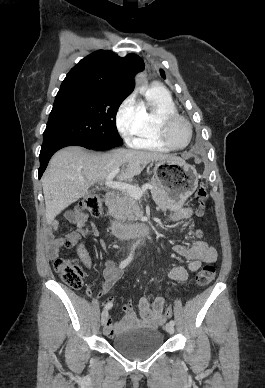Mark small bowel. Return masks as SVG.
Here are the masks:
<instances>
[{"label": "small bowel", "mask_w": 265, "mask_h": 388, "mask_svg": "<svg viewBox=\"0 0 265 388\" xmlns=\"http://www.w3.org/2000/svg\"><path fill=\"white\" fill-rule=\"evenodd\" d=\"M193 214L190 207H179L170 213V219L173 221L189 219ZM64 218L72 225L75 230L67 233L65 237L52 238L49 242V255L51 258H56L61 248L75 247L84 266L88 269L93 267L92 259L87 252L81 238H92L96 235L95 229H90L86 226V215L75 209L65 212ZM53 230L58 229V221L51 224ZM100 245L105 252V263L103 270V282L101 295L107 294L118 280L123 275V270L117 267L112 257L108 254V246L105 240L100 239ZM173 250L178 255L188 260L187 267L177 266L171 269L169 276L174 281H186L189 279L190 273L196 272L201 267L202 263L214 262L217 258L215 248L210 246L205 240H197L191 246L176 244ZM86 293L89 297L93 296L91 287H87ZM106 305L113 306V298L108 297ZM165 307V299L158 297L151 304L147 297L139 299L140 314L137 315L133 310V304L127 301L124 306V317L114 323L108 316L105 324L104 333L108 336H113L124 332L128 329L137 328H156L162 325L165 321L163 315Z\"/></svg>", "instance_id": "small-bowel-1"}]
</instances>
